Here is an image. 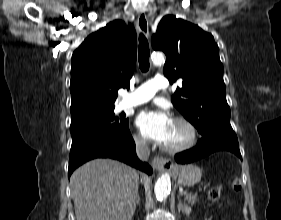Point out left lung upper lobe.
I'll use <instances>...</instances> for the list:
<instances>
[{
    "mask_svg": "<svg viewBox=\"0 0 281 220\" xmlns=\"http://www.w3.org/2000/svg\"><path fill=\"white\" fill-rule=\"evenodd\" d=\"M152 46L166 54L164 75L170 83L183 80L171 100L198 132L233 131L223 65L213 36L197 25L167 15L152 36Z\"/></svg>",
    "mask_w": 281,
    "mask_h": 220,
    "instance_id": "5c2ea615",
    "label": "left lung upper lobe"
}]
</instances>
